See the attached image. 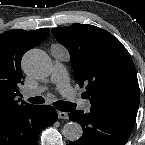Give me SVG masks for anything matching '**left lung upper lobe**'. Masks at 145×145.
<instances>
[{
	"mask_svg": "<svg viewBox=\"0 0 145 145\" xmlns=\"http://www.w3.org/2000/svg\"><path fill=\"white\" fill-rule=\"evenodd\" d=\"M71 57L76 82L91 106L139 107L137 74L129 52L112 34L93 25L52 29Z\"/></svg>",
	"mask_w": 145,
	"mask_h": 145,
	"instance_id": "left-lung-upper-lobe-1",
	"label": "left lung upper lobe"
}]
</instances>
